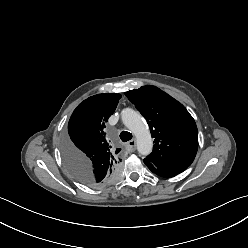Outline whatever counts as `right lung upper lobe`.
<instances>
[{
  "mask_svg": "<svg viewBox=\"0 0 248 248\" xmlns=\"http://www.w3.org/2000/svg\"><path fill=\"white\" fill-rule=\"evenodd\" d=\"M120 98V94L104 93L89 97L78 105L69 120L68 149L63 152V159H71L87 174L92 186L105 185L119 174L120 149L107 141L104 128ZM103 177L107 179L104 181Z\"/></svg>",
  "mask_w": 248,
  "mask_h": 248,
  "instance_id": "right-lung-upper-lobe-1",
  "label": "right lung upper lobe"
}]
</instances>
